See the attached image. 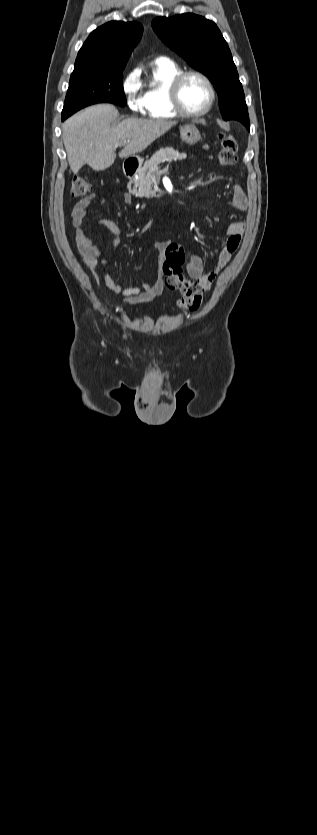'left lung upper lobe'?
I'll return each mask as SVG.
<instances>
[{"mask_svg":"<svg viewBox=\"0 0 317 835\" xmlns=\"http://www.w3.org/2000/svg\"><path fill=\"white\" fill-rule=\"evenodd\" d=\"M152 26L168 47L210 79L218 93L224 120H237L249 126L242 84L228 44L216 24L202 16L184 13L157 17Z\"/></svg>","mask_w":317,"mask_h":835,"instance_id":"1","label":"left lung upper lobe"}]
</instances>
